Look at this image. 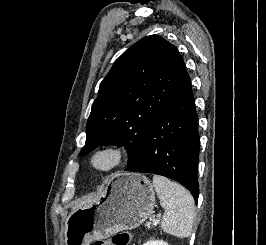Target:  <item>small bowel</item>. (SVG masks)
<instances>
[{"label": "small bowel", "mask_w": 266, "mask_h": 245, "mask_svg": "<svg viewBox=\"0 0 266 245\" xmlns=\"http://www.w3.org/2000/svg\"><path fill=\"white\" fill-rule=\"evenodd\" d=\"M100 242H109V241H100Z\"/></svg>", "instance_id": "obj_1"}]
</instances>
